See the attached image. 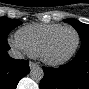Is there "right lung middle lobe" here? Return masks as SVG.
I'll list each match as a JSON object with an SVG mask.
<instances>
[{
	"mask_svg": "<svg viewBox=\"0 0 89 89\" xmlns=\"http://www.w3.org/2000/svg\"><path fill=\"white\" fill-rule=\"evenodd\" d=\"M20 24H22L21 21L17 19L0 17V42H6L9 32Z\"/></svg>",
	"mask_w": 89,
	"mask_h": 89,
	"instance_id": "right-lung-middle-lobe-1",
	"label": "right lung middle lobe"
}]
</instances>
